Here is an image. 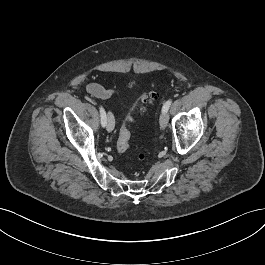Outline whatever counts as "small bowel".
<instances>
[{
    "mask_svg": "<svg viewBox=\"0 0 265 265\" xmlns=\"http://www.w3.org/2000/svg\"><path fill=\"white\" fill-rule=\"evenodd\" d=\"M86 91L89 95L100 99H108L117 94L115 89L105 88L97 83H89L86 86Z\"/></svg>",
    "mask_w": 265,
    "mask_h": 265,
    "instance_id": "c3829d8e",
    "label": "small bowel"
}]
</instances>
